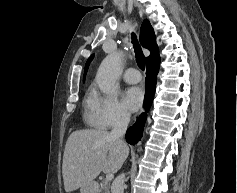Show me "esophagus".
Instances as JSON below:
<instances>
[{
  "label": "esophagus",
  "mask_w": 237,
  "mask_h": 193,
  "mask_svg": "<svg viewBox=\"0 0 237 193\" xmlns=\"http://www.w3.org/2000/svg\"><path fill=\"white\" fill-rule=\"evenodd\" d=\"M144 111H145V109L143 108V109L140 111V114H142Z\"/></svg>",
  "instance_id": "34e87169"
}]
</instances>
